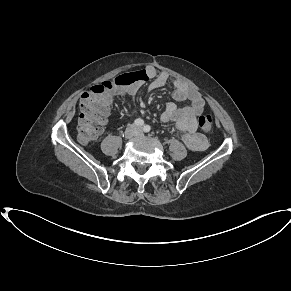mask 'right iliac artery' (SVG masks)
Wrapping results in <instances>:
<instances>
[{
	"label": "right iliac artery",
	"instance_id": "obj_1",
	"mask_svg": "<svg viewBox=\"0 0 291 291\" xmlns=\"http://www.w3.org/2000/svg\"><path fill=\"white\" fill-rule=\"evenodd\" d=\"M134 124L137 125V126H143L144 125V121L140 118L136 119L134 121Z\"/></svg>",
	"mask_w": 291,
	"mask_h": 291
}]
</instances>
